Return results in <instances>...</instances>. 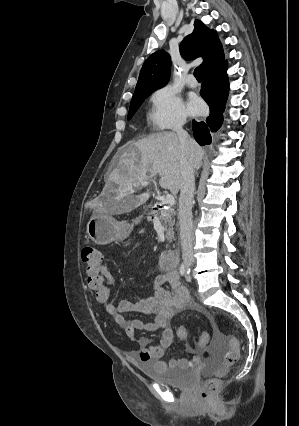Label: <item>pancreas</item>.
Here are the masks:
<instances>
[{
	"label": "pancreas",
	"instance_id": "1",
	"mask_svg": "<svg viewBox=\"0 0 299 426\" xmlns=\"http://www.w3.org/2000/svg\"><path fill=\"white\" fill-rule=\"evenodd\" d=\"M163 202H159L156 205H161ZM149 215L151 216H159L160 221L166 229V238L168 241H172L174 238L173 226L175 224V215L176 211L174 207H170L169 209L158 208V210H152Z\"/></svg>",
	"mask_w": 299,
	"mask_h": 426
}]
</instances>
